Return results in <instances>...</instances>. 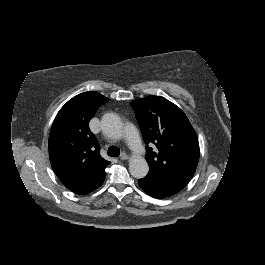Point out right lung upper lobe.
<instances>
[{
	"label": "right lung upper lobe",
	"mask_w": 265,
	"mask_h": 265,
	"mask_svg": "<svg viewBox=\"0 0 265 265\" xmlns=\"http://www.w3.org/2000/svg\"><path fill=\"white\" fill-rule=\"evenodd\" d=\"M108 98L98 92L81 93L70 99L58 112L49 135V158L63 185L72 192L88 194L105 180L110 163L100 156L89 121Z\"/></svg>",
	"instance_id": "1"
}]
</instances>
